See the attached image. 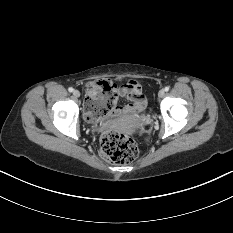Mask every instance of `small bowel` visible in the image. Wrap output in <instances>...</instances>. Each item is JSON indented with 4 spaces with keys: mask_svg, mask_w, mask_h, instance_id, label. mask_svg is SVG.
I'll return each instance as SVG.
<instances>
[{
    "mask_svg": "<svg viewBox=\"0 0 233 233\" xmlns=\"http://www.w3.org/2000/svg\"><path fill=\"white\" fill-rule=\"evenodd\" d=\"M116 95L117 98L118 97L127 98L130 101V103L124 106H116L115 110L111 113L113 115H124L134 112H140L144 110L146 106V100L142 94L141 85L137 81L130 80L127 83L119 87H116ZM86 116H87V112H86Z\"/></svg>",
    "mask_w": 233,
    "mask_h": 233,
    "instance_id": "obj_1",
    "label": "small bowel"
}]
</instances>
